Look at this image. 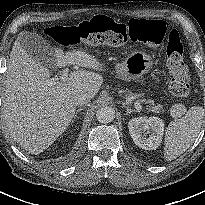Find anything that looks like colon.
Wrapping results in <instances>:
<instances>
[{"instance_id": "1", "label": "colon", "mask_w": 205, "mask_h": 205, "mask_svg": "<svg viewBox=\"0 0 205 205\" xmlns=\"http://www.w3.org/2000/svg\"><path fill=\"white\" fill-rule=\"evenodd\" d=\"M48 34L56 43L66 47L80 43L121 47L128 42L158 47L166 34V26L160 19L132 18L127 24H121L98 14L78 26H51ZM166 58L171 74V93L181 99L188 97L190 78L183 58L181 38L175 29L168 35Z\"/></svg>"}]
</instances>
